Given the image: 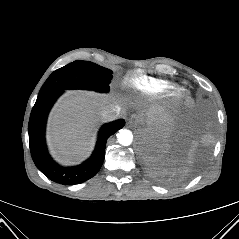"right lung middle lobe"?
<instances>
[{"label": "right lung middle lobe", "mask_w": 239, "mask_h": 239, "mask_svg": "<svg viewBox=\"0 0 239 239\" xmlns=\"http://www.w3.org/2000/svg\"><path fill=\"white\" fill-rule=\"evenodd\" d=\"M112 71L88 61H74L54 71L43 84L38 96L66 89L108 91Z\"/></svg>", "instance_id": "dd1d6c3e"}]
</instances>
